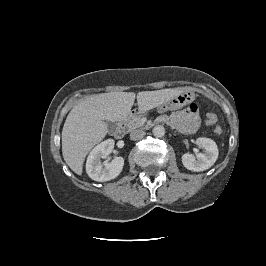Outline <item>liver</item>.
I'll list each match as a JSON object with an SVG mask.
<instances>
[{
  "label": "liver",
  "instance_id": "1",
  "mask_svg": "<svg viewBox=\"0 0 266 266\" xmlns=\"http://www.w3.org/2000/svg\"><path fill=\"white\" fill-rule=\"evenodd\" d=\"M183 88L133 92L93 94L75 105L62 130V154L67 165L82 175L83 163L89 151L108 133L105 121L127 119L137 99L138 109L145 112L156 108L179 94Z\"/></svg>",
  "mask_w": 266,
  "mask_h": 266
}]
</instances>
